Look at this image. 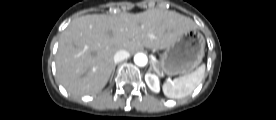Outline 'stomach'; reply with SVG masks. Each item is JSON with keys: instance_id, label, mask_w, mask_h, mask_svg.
<instances>
[{"instance_id": "obj_1", "label": "stomach", "mask_w": 276, "mask_h": 120, "mask_svg": "<svg viewBox=\"0 0 276 120\" xmlns=\"http://www.w3.org/2000/svg\"><path fill=\"white\" fill-rule=\"evenodd\" d=\"M205 39L196 29L183 33L177 41L167 47L153 67L159 75L189 74L202 62Z\"/></svg>"}]
</instances>
